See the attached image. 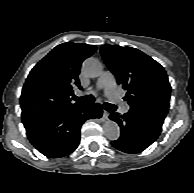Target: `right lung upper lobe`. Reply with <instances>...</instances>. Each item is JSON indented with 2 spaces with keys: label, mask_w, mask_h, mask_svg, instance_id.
Segmentation results:
<instances>
[{
  "label": "right lung upper lobe",
  "mask_w": 194,
  "mask_h": 193,
  "mask_svg": "<svg viewBox=\"0 0 194 193\" xmlns=\"http://www.w3.org/2000/svg\"><path fill=\"white\" fill-rule=\"evenodd\" d=\"M96 49L94 45L67 42L56 46L36 64L21 94L23 123L80 105L71 101L73 86L80 87L82 61Z\"/></svg>",
  "instance_id": "right-lung-upper-lobe-1"
}]
</instances>
